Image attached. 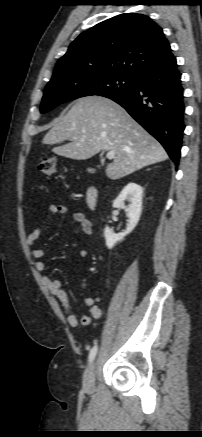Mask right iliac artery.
I'll return each instance as SVG.
<instances>
[{"label": "right iliac artery", "instance_id": "82829eb1", "mask_svg": "<svg viewBox=\"0 0 202 437\" xmlns=\"http://www.w3.org/2000/svg\"><path fill=\"white\" fill-rule=\"evenodd\" d=\"M96 353H97V346L95 345V346L90 350L89 357H88V361H89V363H91V362L94 360V358H95V356H96Z\"/></svg>", "mask_w": 202, "mask_h": 437}]
</instances>
